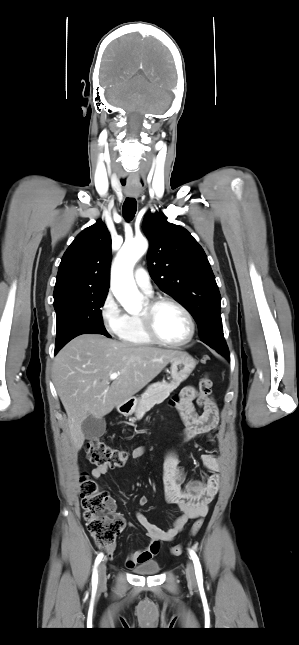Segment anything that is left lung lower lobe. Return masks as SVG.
I'll use <instances>...</instances> for the list:
<instances>
[{
    "mask_svg": "<svg viewBox=\"0 0 299 645\" xmlns=\"http://www.w3.org/2000/svg\"><path fill=\"white\" fill-rule=\"evenodd\" d=\"M224 356H225V357H227V358L229 359V354H226V355H224Z\"/></svg>",
    "mask_w": 299,
    "mask_h": 645,
    "instance_id": "0a47b994",
    "label": "left lung lower lobe"
}]
</instances>
